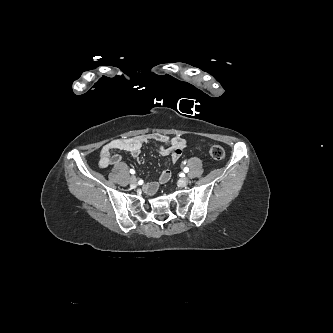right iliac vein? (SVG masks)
<instances>
[{
	"label": "right iliac vein",
	"mask_w": 333,
	"mask_h": 333,
	"mask_svg": "<svg viewBox=\"0 0 333 333\" xmlns=\"http://www.w3.org/2000/svg\"><path fill=\"white\" fill-rule=\"evenodd\" d=\"M129 181L132 186L135 187L137 185V178L135 176H131Z\"/></svg>",
	"instance_id": "63e3f726"
}]
</instances>
